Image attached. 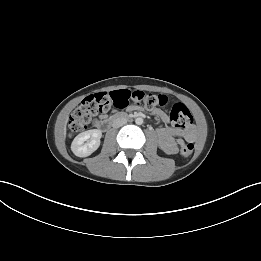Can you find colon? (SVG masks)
I'll return each mask as SVG.
<instances>
[{"mask_svg":"<svg viewBox=\"0 0 261 261\" xmlns=\"http://www.w3.org/2000/svg\"><path fill=\"white\" fill-rule=\"evenodd\" d=\"M130 104L135 107L154 109L164 107L167 98L164 95L146 94L142 91L116 90L102 92L86 97L73 111L69 123L68 132L73 136L87 128L91 118L97 114L107 112L111 107L124 109ZM171 121L179 127H188L193 122L189 109L182 103H175L170 112ZM194 144L185 143L181 146L180 153L183 157H189L193 153Z\"/></svg>","mask_w":261,"mask_h":261,"instance_id":"1","label":"colon"}]
</instances>
